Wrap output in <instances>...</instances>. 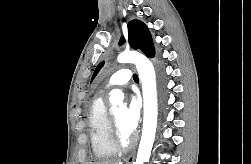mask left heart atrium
Instances as JSON below:
<instances>
[{"label": "left heart atrium", "instance_id": "left-heart-atrium-1", "mask_svg": "<svg viewBox=\"0 0 251 164\" xmlns=\"http://www.w3.org/2000/svg\"><path fill=\"white\" fill-rule=\"evenodd\" d=\"M141 103L138 97L131 96L124 113L123 126L128 134H132L140 120Z\"/></svg>", "mask_w": 251, "mask_h": 164}]
</instances>
